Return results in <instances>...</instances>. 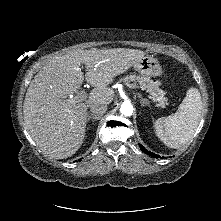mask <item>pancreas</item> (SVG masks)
<instances>
[{"label":"pancreas","instance_id":"cf45deb5","mask_svg":"<svg viewBox=\"0 0 221 221\" xmlns=\"http://www.w3.org/2000/svg\"><path fill=\"white\" fill-rule=\"evenodd\" d=\"M120 81L125 83L132 81L135 83L136 87H140L142 90H146L151 95L150 98L157 103V107L164 108L168 104V100L164 96L165 92L159 88V83L157 81L135 75L125 76L121 78Z\"/></svg>","mask_w":221,"mask_h":221}]
</instances>
